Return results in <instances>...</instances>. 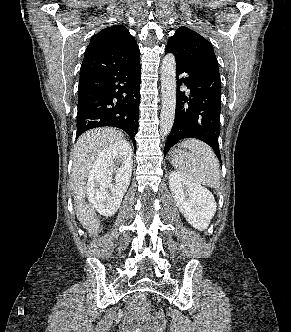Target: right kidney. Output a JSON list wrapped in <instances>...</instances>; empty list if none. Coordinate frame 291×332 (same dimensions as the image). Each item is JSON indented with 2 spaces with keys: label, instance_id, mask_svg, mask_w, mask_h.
<instances>
[{
  "label": "right kidney",
  "instance_id": "ca27d5eb",
  "mask_svg": "<svg viewBox=\"0 0 291 332\" xmlns=\"http://www.w3.org/2000/svg\"><path fill=\"white\" fill-rule=\"evenodd\" d=\"M132 163L131 147L122 141L105 148L93 164L87 182V196L101 215L112 216L120 207L130 184ZM112 174L116 177L115 185L112 184Z\"/></svg>",
  "mask_w": 291,
  "mask_h": 332
}]
</instances>
